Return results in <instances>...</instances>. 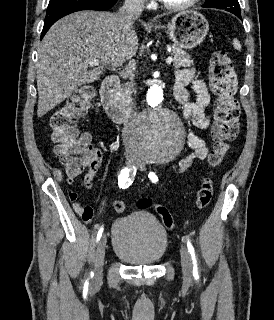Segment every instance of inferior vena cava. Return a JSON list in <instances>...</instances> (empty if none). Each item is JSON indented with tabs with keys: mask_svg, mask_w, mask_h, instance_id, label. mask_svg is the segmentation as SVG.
<instances>
[{
	"mask_svg": "<svg viewBox=\"0 0 274 320\" xmlns=\"http://www.w3.org/2000/svg\"><path fill=\"white\" fill-rule=\"evenodd\" d=\"M145 0H125L124 6L119 8V16H120V30H122L123 34H134L133 26L135 20L141 16L144 10ZM132 122L133 118L137 116L135 112L134 106H132L131 110ZM132 122H128V126H131ZM126 130L123 132V138H126ZM126 142V140H125Z\"/></svg>",
	"mask_w": 274,
	"mask_h": 320,
	"instance_id": "obj_1",
	"label": "inferior vena cava"
}]
</instances>
